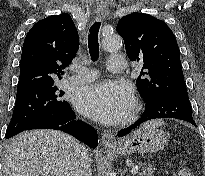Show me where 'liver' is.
Segmentation results:
<instances>
[{
    "mask_svg": "<svg viewBox=\"0 0 205 176\" xmlns=\"http://www.w3.org/2000/svg\"><path fill=\"white\" fill-rule=\"evenodd\" d=\"M78 144L61 131L23 132L7 146L3 176H74Z\"/></svg>",
    "mask_w": 205,
    "mask_h": 176,
    "instance_id": "liver-1",
    "label": "liver"
}]
</instances>
